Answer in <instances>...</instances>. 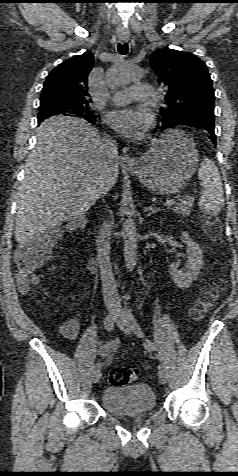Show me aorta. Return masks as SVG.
<instances>
[{"instance_id":"1","label":"aorta","mask_w":238,"mask_h":476,"mask_svg":"<svg viewBox=\"0 0 238 476\" xmlns=\"http://www.w3.org/2000/svg\"><path fill=\"white\" fill-rule=\"evenodd\" d=\"M141 78V70L138 67L128 65L115 70L112 75V79L116 83H126ZM123 227L124 261L127 270L133 271L137 264V231L132 215L127 216ZM125 299H129V296H126Z\"/></svg>"}]
</instances>
